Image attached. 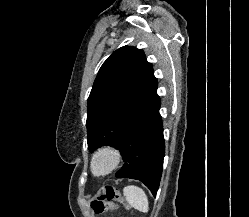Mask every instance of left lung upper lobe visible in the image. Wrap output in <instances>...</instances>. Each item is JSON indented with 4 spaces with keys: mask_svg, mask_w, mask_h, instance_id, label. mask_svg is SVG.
<instances>
[{
    "mask_svg": "<svg viewBox=\"0 0 249 217\" xmlns=\"http://www.w3.org/2000/svg\"><path fill=\"white\" fill-rule=\"evenodd\" d=\"M156 83L152 65L141 49L124 46L108 57L88 98L90 152L102 145L117 148L123 121Z\"/></svg>",
    "mask_w": 249,
    "mask_h": 217,
    "instance_id": "left-lung-upper-lobe-1",
    "label": "left lung upper lobe"
}]
</instances>
